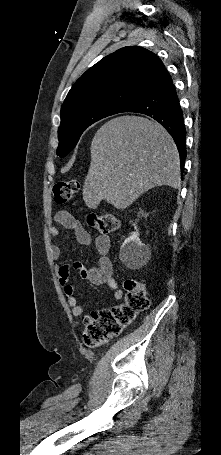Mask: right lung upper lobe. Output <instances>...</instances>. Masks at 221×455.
<instances>
[{"mask_svg":"<svg viewBox=\"0 0 221 455\" xmlns=\"http://www.w3.org/2000/svg\"><path fill=\"white\" fill-rule=\"evenodd\" d=\"M165 69L161 60L142 47L129 46L104 57L72 86L61 116L79 107L116 102L124 107L142 97Z\"/></svg>","mask_w":221,"mask_h":455,"instance_id":"cb5924a9","label":"right lung upper lobe"}]
</instances>
